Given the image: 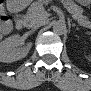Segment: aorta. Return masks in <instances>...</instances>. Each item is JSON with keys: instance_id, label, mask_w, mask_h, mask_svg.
Returning <instances> with one entry per match:
<instances>
[{"instance_id": "obj_1", "label": "aorta", "mask_w": 91, "mask_h": 91, "mask_svg": "<svg viewBox=\"0 0 91 91\" xmlns=\"http://www.w3.org/2000/svg\"><path fill=\"white\" fill-rule=\"evenodd\" d=\"M53 32L62 35L66 32V24L62 21H55L53 23Z\"/></svg>"}]
</instances>
